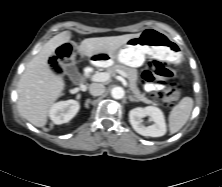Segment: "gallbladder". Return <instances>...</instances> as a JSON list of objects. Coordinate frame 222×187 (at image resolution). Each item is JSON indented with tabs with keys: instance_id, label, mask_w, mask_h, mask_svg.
I'll return each mask as SVG.
<instances>
[{
	"instance_id": "gallbladder-1",
	"label": "gallbladder",
	"mask_w": 222,
	"mask_h": 187,
	"mask_svg": "<svg viewBox=\"0 0 222 187\" xmlns=\"http://www.w3.org/2000/svg\"><path fill=\"white\" fill-rule=\"evenodd\" d=\"M62 67L64 74L67 75L73 83L78 84L80 82L81 74L75 64H63Z\"/></svg>"
}]
</instances>
